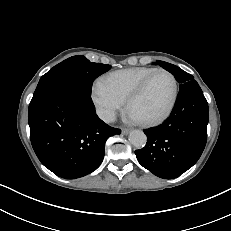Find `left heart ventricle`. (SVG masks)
I'll return each instance as SVG.
<instances>
[{"label":"left heart ventricle","instance_id":"obj_1","mask_svg":"<svg viewBox=\"0 0 231 231\" xmlns=\"http://www.w3.org/2000/svg\"><path fill=\"white\" fill-rule=\"evenodd\" d=\"M173 82L165 73H157L143 94L132 103L129 113L139 121L154 119L168 108L173 96Z\"/></svg>","mask_w":231,"mask_h":231}]
</instances>
